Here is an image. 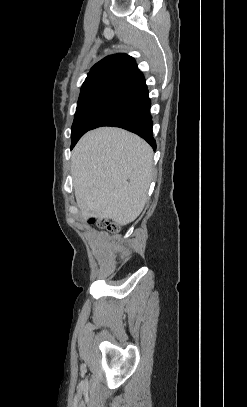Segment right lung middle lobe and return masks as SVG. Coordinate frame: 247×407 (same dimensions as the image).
I'll use <instances>...</instances> for the list:
<instances>
[{"label":"right lung middle lobe","mask_w":247,"mask_h":407,"mask_svg":"<svg viewBox=\"0 0 247 407\" xmlns=\"http://www.w3.org/2000/svg\"><path fill=\"white\" fill-rule=\"evenodd\" d=\"M138 92L125 88H113L94 93L78 100L72 125L71 148L80 137L91 130L105 115L133 98Z\"/></svg>","instance_id":"dd1d6c3e"}]
</instances>
